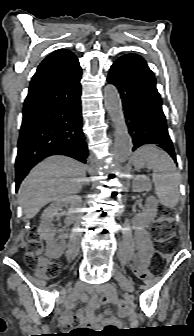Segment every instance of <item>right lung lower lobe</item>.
<instances>
[{"label": "right lung lower lobe", "instance_id": "98d812e1", "mask_svg": "<svg viewBox=\"0 0 194 336\" xmlns=\"http://www.w3.org/2000/svg\"><path fill=\"white\" fill-rule=\"evenodd\" d=\"M81 68L74 66L31 83L15 163L16 192L29 170L42 159L63 154L86 163L88 149L82 131Z\"/></svg>", "mask_w": 194, "mask_h": 336}]
</instances>
